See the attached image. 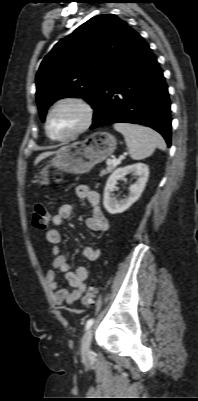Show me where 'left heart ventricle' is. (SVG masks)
<instances>
[{
  "label": "left heart ventricle",
  "instance_id": "left-heart-ventricle-1",
  "mask_svg": "<svg viewBox=\"0 0 198 401\" xmlns=\"http://www.w3.org/2000/svg\"><path fill=\"white\" fill-rule=\"evenodd\" d=\"M82 110L73 104L58 107L51 115L49 132L53 137H63L74 132L83 122Z\"/></svg>",
  "mask_w": 198,
  "mask_h": 401
}]
</instances>
